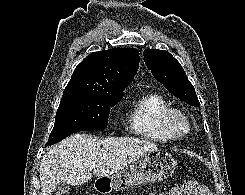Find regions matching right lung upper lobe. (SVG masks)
<instances>
[{
    "label": "right lung upper lobe",
    "instance_id": "1",
    "mask_svg": "<svg viewBox=\"0 0 245 195\" xmlns=\"http://www.w3.org/2000/svg\"><path fill=\"white\" fill-rule=\"evenodd\" d=\"M138 67L139 52L134 48L93 52L77 65L63 94L93 93L122 98Z\"/></svg>",
    "mask_w": 245,
    "mask_h": 195
}]
</instances>
